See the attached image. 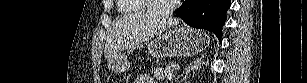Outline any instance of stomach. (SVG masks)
<instances>
[{"instance_id": "obj_1", "label": "stomach", "mask_w": 307, "mask_h": 83, "mask_svg": "<svg viewBox=\"0 0 307 83\" xmlns=\"http://www.w3.org/2000/svg\"><path fill=\"white\" fill-rule=\"evenodd\" d=\"M210 43L206 33L191 29L179 28L158 35L150 42V53L153 57H185L201 52ZM109 68L115 73L125 72L130 64L124 54L107 59Z\"/></svg>"}]
</instances>
